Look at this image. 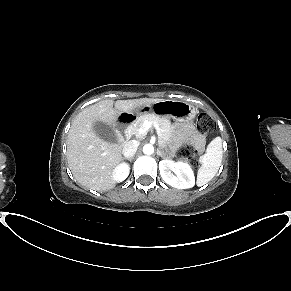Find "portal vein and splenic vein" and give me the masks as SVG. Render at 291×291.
<instances>
[{"label": "portal vein and splenic vein", "mask_w": 291, "mask_h": 291, "mask_svg": "<svg viewBox=\"0 0 291 291\" xmlns=\"http://www.w3.org/2000/svg\"><path fill=\"white\" fill-rule=\"evenodd\" d=\"M152 125H154L158 129V126L155 123H152L150 121H145L143 124V128L141 129V133L147 132Z\"/></svg>", "instance_id": "1"}]
</instances>
